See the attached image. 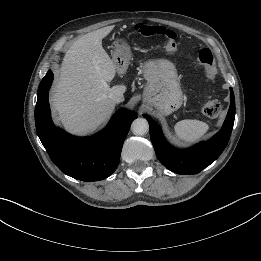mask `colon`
<instances>
[{"mask_svg": "<svg viewBox=\"0 0 261 261\" xmlns=\"http://www.w3.org/2000/svg\"><path fill=\"white\" fill-rule=\"evenodd\" d=\"M135 31L143 36H161L164 38V46L171 54H176V34L162 26L136 24ZM197 64L202 66L208 78H214L216 75L215 60L212 52L204 48L200 50L197 56ZM202 113L210 118H218L222 113V105L217 100H208L202 106Z\"/></svg>", "mask_w": 261, "mask_h": 261, "instance_id": "colon-1", "label": "colon"}]
</instances>
